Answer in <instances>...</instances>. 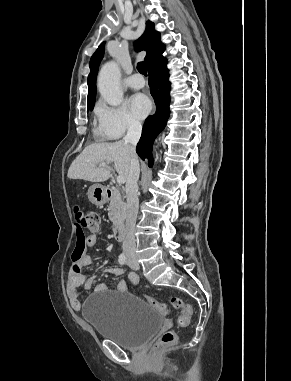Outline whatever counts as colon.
Instances as JSON below:
<instances>
[{
    "label": "colon",
    "instance_id": "5ec220e1",
    "mask_svg": "<svg viewBox=\"0 0 291 381\" xmlns=\"http://www.w3.org/2000/svg\"><path fill=\"white\" fill-rule=\"evenodd\" d=\"M74 220L77 226V238H78V246L75 249L72 258L79 259L82 255V241L84 240V232L85 231H96L99 226V217L98 215L88 212L87 210L76 206L74 208ZM146 301L159 313L163 315H167L169 313V309L163 303L158 300L144 296ZM172 306L179 310L180 314L177 319V323L181 327H185L189 324L190 319L193 315L192 307L185 303L179 297H172L170 299ZM176 341V334L173 331L165 332L158 343L155 345V352L160 351L161 349L174 344Z\"/></svg>",
    "mask_w": 291,
    "mask_h": 381
}]
</instances>
